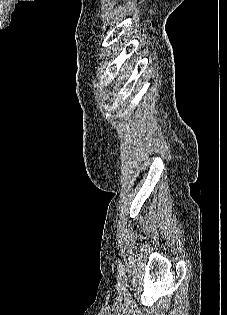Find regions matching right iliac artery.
<instances>
[{
  "label": "right iliac artery",
  "mask_w": 227,
  "mask_h": 315,
  "mask_svg": "<svg viewBox=\"0 0 227 315\" xmlns=\"http://www.w3.org/2000/svg\"><path fill=\"white\" fill-rule=\"evenodd\" d=\"M120 263V262H119ZM122 267V265H121V263L119 264V268H121Z\"/></svg>",
  "instance_id": "1"
}]
</instances>
